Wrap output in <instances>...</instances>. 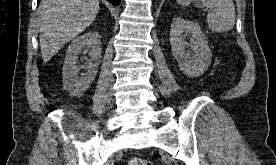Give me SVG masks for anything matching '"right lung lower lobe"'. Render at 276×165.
Wrapping results in <instances>:
<instances>
[{"label": "right lung lower lobe", "instance_id": "right-lung-lower-lobe-1", "mask_svg": "<svg viewBox=\"0 0 276 165\" xmlns=\"http://www.w3.org/2000/svg\"><path fill=\"white\" fill-rule=\"evenodd\" d=\"M41 0H38V3L40 2ZM110 3H112L113 5H119L120 4V1L121 0H108Z\"/></svg>", "mask_w": 276, "mask_h": 165}]
</instances>
